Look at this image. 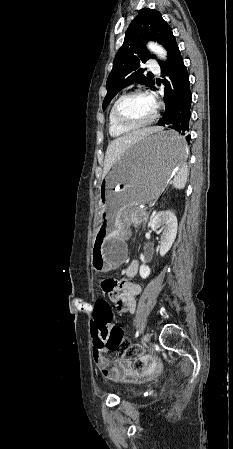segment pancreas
Instances as JSON below:
<instances>
[{"instance_id": "pancreas-1", "label": "pancreas", "mask_w": 233, "mask_h": 449, "mask_svg": "<svg viewBox=\"0 0 233 449\" xmlns=\"http://www.w3.org/2000/svg\"><path fill=\"white\" fill-rule=\"evenodd\" d=\"M125 222L134 226H139L149 219V214L140 208L129 209L124 213Z\"/></svg>"}]
</instances>
